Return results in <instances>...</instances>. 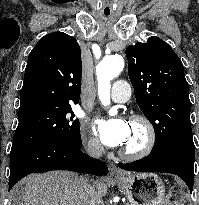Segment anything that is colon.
I'll list each match as a JSON object with an SVG mask.
<instances>
[{
	"mask_svg": "<svg viewBox=\"0 0 199 205\" xmlns=\"http://www.w3.org/2000/svg\"><path fill=\"white\" fill-rule=\"evenodd\" d=\"M182 191L178 187H172L166 195L163 205H182Z\"/></svg>",
	"mask_w": 199,
	"mask_h": 205,
	"instance_id": "colon-1",
	"label": "colon"
}]
</instances>
